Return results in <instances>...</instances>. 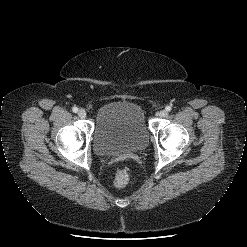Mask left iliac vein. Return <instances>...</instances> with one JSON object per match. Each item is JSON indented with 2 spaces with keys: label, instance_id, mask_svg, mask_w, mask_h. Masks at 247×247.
I'll return each instance as SVG.
<instances>
[{
  "label": "left iliac vein",
  "instance_id": "4c4485c4",
  "mask_svg": "<svg viewBox=\"0 0 247 247\" xmlns=\"http://www.w3.org/2000/svg\"><path fill=\"white\" fill-rule=\"evenodd\" d=\"M168 111L167 110H161L160 112H159V116L160 117H162V118H164V117H167L168 116Z\"/></svg>",
  "mask_w": 247,
  "mask_h": 247
}]
</instances>
